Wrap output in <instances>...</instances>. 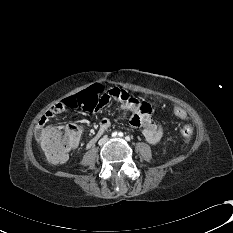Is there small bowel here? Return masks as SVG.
I'll use <instances>...</instances> for the list:
<instances>
[{"label": "small bowel", "instance_id": "obj_1", "mask_svg": "<svg viewBox=\"0 0 233 233\" xmlns=\"http://www.w3.org/2000/svg\"><path fill=\"white\" fill-rule=\"evenodd\" d=\"M110 101L120 105L122 111L130 112V123L134 127L142 129L143 135L149 143L155 144L159 142L163 136V127L154 122L152 115L154 114V106L150 102H142L139 97L132 96L128 91L122 90L120 87H108L105 93L101 95L98 102L93 107L94 112L99 113L103 108L109 105ZM66 110L64 100L54 104L39 120L38 130L44 129L47 122L63 113ZM187 113V112H186ZM111 123L108 119H102L99 123L97 133L88 140V146H93L105 131L110 127Z\"/></svg>", "mask_w": 233, "mask_h": 233}]
</instances>
